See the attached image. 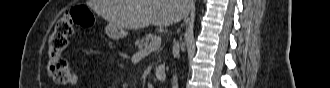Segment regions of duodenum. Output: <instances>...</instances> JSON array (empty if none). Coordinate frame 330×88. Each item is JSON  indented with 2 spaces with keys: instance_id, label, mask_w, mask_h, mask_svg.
I'll use <instances>...</instances> for the list:
<instances>
[{
  "instance_id": "1",
  "label": "duodenum",
  "mask_w": 330,
  "mask_h": 88,
  "mask_svg": "<svg viewBox=\"0 0 330 88\" xmlns=\"http://www.w3.org/2000/svg\"><path fill=\"white\" fill-rule=\"evenodd\" d=\"M154 75H155L157 80H163L165 78V75H166V67L162 64L157 65L154 68Z\"/></svg>"
}]
</instances>
